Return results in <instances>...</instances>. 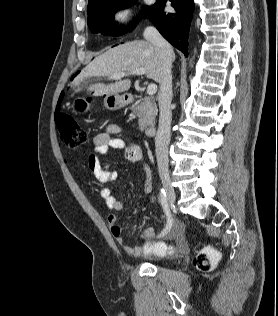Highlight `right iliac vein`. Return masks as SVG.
Instances as JSON below:
<instances>
[{"mask_svg": "<svg viewBox=\"0 0 278 316\" xmlns=\"http://www.w3.org/2000/svg\"><path fill=\"white\" fill-rule=\"evenodd\" d=\"M161 181H162V184L164 186V190L166 192L167 201L170 204H173L175 202L176 195H175V191H174V188L172 186V183H171L170 176L166 173H162L161 174Z\"/></svg>", "mask_w": 278, "mask_h": 316, "instance_id": "obj_1", "label": "right iliac vein"}]
</instances>
